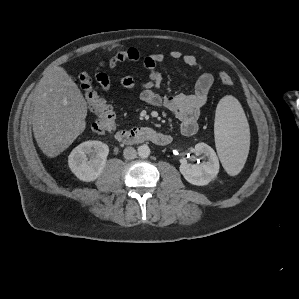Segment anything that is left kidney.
Returning <instances> with one entry per match:
<instances>
[{"label": "left kidney", "mask_w": 299, "mask_h": 299, "mask_svg": "<svg viewBox=\"0 0 299 299\" xmlns=\"http://www.w3.org/2000/svg\"><path fill=\"white\" fill-rule=\"evenodd\" d=\"M195 151L203 154L206 161L201 164L181 162L179 170L184 178L191 184L204 186L211 182L219 172V160L215 151L205 143L195 145Z\"/></svg>", "instance_id": "left-kidney-1"}]
</instances>
